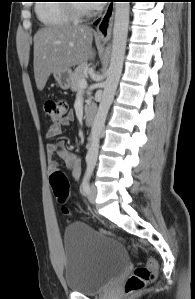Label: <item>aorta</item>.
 <instances>
[{
	"mask_svg": "<svg viewBox=\"0 0 195 299\" xmlns=\"http://www.w3.org/2000/svg\"><path fill=\"white\" fill-rule=\"evenodd\" d=\"M129 13V2H116L112 54L110 65L107 71V79L105 81L102 99L91 128L90 146L86 155L87 162H96L97 160L100 135L104 128L106 117L113 102L122 73L129 27Z\"/></svg>",
	"mask_w": 195,
	"mask_h": 299,
	"instance_id": "1",
	"label": "aorta"
}]
</instances>
